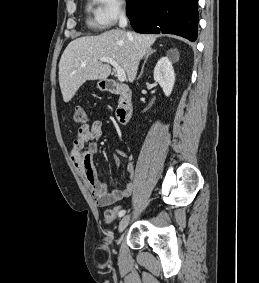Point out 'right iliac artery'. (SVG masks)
Returning a JSON list of instances; mask_svg holds the SVG:
<instances>
[{
	"instance_id": "1",
	"label": "right iliac artery",
	"mask_w": 259,
	"mask_h": 283,
	"mask_svg": "<svg viewBox=\"0 0 259 283\" xmlns=\"http://www.w3.org/2000/svg\"><path fill=\"white\" fill-rule=\"evenodd\" d=\"M125 213H126V210H121V211L119 212V217H122Z\"/></svg>"
}]
</instances>
